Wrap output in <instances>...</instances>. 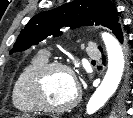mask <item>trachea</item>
<instances>
[{
  "label": "trachea",
  "mask_w": 133,
  "mask_h": 118,
  "mask_svg": "<svg viewBox=\"0 0 133 118\" xmlns=\"http://www.w3.org/2000/svg\"><path fill=\"white\" fill-rule=\"evenodd\" d=\"M92 63H95V61H94V60H92Z\"/></svg>",
  "instance_id": "3493384b"
}]
</instances>
